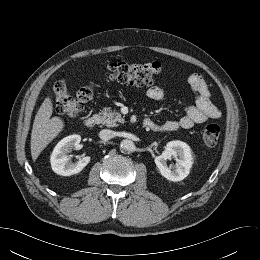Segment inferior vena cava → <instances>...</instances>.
<instances>
[{
    "label": "inferior vena cava",
    "mask_w": 260,
    "mask_h": 260,
    "mask_svg": "<svg viewBox=\"0 0 260 260\" xmlns=\"http://www.w3.org/2000/svg\"><path fill=\"white\" fill-rule=\"evenodd\" d=\"M99 137L102 140L107 141V140H110L114 137V132L112 130H109V129H103V130L100 131Z\"/></svg>",
    "instance_id": "inferior-vena-cava-1"
}]
</instances>
